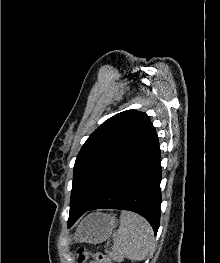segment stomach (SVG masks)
I'll return each mask as SVG.
<instances>
[{
    "mask_svg": "<svg viewBox=\"0 0 220 263\" xmlns=\"http://www.w3.org/2000/svg\"><path fill=\"white\" fill-rule=\"evenodd\" d=\"M115 216L100 212L86 216L76 228L75 242L98 244L105 241L116 227Z\"/></svg>",
    "mask_w": 220,
    "mask_h": 263,
    "instance_id": "stomach-1",
    "label": "stomach"
}]
</instances>
